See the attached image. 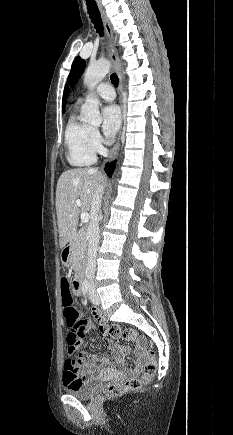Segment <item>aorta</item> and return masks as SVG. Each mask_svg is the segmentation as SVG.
<instances>
[{
    "mask_svg": "<svg viewBox=\"0 0 233 435\" xmlns=\"http://www.w3.org/2000/svg\"><path fill=\"white\" fill-rule=\"evenodd\" d=\"M110 69V62L107 60L98 61L90 65L84 74V83L90 89L94 87L107 75ZM81 117L84 122L94 126H99L102 118L99 112V101L96 98L89 97L87 102L81 108Z\"/></svg>",
    "mask_w": 233,
    "mask_h": 435,
    "instance_id": "aorta-1",
    "label": "aorta"
}]
</instances>
